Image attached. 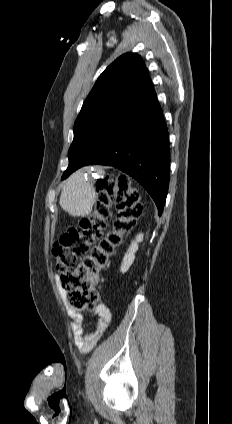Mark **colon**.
<instances>
[{
  "label": "colon",
  "mask_w": 232,
  "mask_h": 424,
  "mask_svg": "<svg viewBox=\"0 0 232 424\" xmlns=\"http://www.w3.org/2000/svg\"><path fill=\"white\" fill-rule=\"evenodd\" d=\"M100 184L105 191L100 193L93 213L78 227L64 233L53 248L66 301L77 310L92 311L97 305L100 273L143 211L136 189L125 185L108 189L106 181ZM113 202H117V218L112 229L105 232L112 216Z\"/></svg>",
  "instance_id": "1"
}]
</instances>
